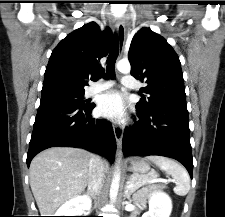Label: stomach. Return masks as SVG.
<instances>
[{
  "label": "stomach",
  "mask_w": 225,
  "mask_h": 217,
  "mask_svg": "<svg viewBox=\"0 0 225 217\" xmlns=\"http://www.w3.org/2000/svg\"><path fill=\"white\" fill-rule=\"evenodd\" d=\"M128 170L134 174L144 175L149 172L150 165L142 158L134 157L129 159Z\"/></svg>",
  "instance_id": "obj_1"
}]
</instances>
